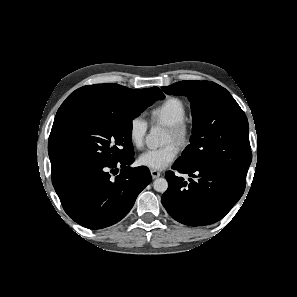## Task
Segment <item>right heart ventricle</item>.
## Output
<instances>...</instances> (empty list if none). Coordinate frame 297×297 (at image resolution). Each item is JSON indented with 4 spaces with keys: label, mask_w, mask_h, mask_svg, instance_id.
Returning a JSON list of instances; mask_svg holds the SVG:
<instances>
[{
    "label": "right heart ventricle",
    "mask_w": 297,
    "mask_h": 297,
    "mask_svg": "<svg viewBox=\"0 0 297 297\" xmlns=\"http://www.w3.org/2000/svg\"><path fill=\"white\" fill-rule=\"evenodd\" d=\"M149 114L153 123L171 126L185 121L187 108L181 99L168 97L152 108Z\"/></svg>",
    "instance_id": "e07e8e85"
}]
</instances>
